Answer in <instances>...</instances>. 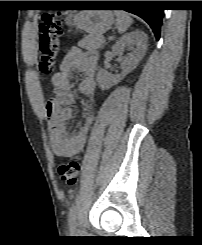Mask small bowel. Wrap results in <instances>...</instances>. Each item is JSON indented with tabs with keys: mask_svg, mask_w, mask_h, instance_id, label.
I'll use <instances>...</instances> for the list:
<instances>
[{
	"mask_svg": "<svg viewBox=\"0 0 202 245\" xmlns=\"http://www.w3.org/2000/svg\"><path fill=\"white\" fill-rule=\"evenodd\" d=\"M73 73L84 75L79 83V91L88 98L84 123L75 134L68 133V122L74 111L70 108L75 101L70 90V77ZM96 56L72 47L63 59L60 70L52 77L55 97L45 106V114L50 125V145L55 155L71 157L78 154L86 141L96 100Z\"/></svg>",
	"mask_w": 202,
	"mask_h": 245,
	"instance_id": "small-bowel-1",
	"label": "small bowel"
}]
</instances>
